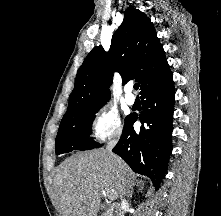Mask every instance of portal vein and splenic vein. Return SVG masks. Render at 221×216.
Segmentation results:
<instances>
[{"label": "portal vein and splenic vein", "instance_id": "1", "mask_svg": "<svg viewBox=\"0 0 221 216\" xmlns=\"http://www.w3.org/2000/svg\"><path fill=\"white\" fill-rule=\"evenodd\" d=\"M103 193L108 197V199L112 200L114 197L112 195V193L107 192V191H103Z\"/></svg>", "mask_w": 221, "mask_h": 216}]
</instances>
